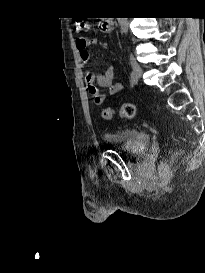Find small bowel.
Returning a JSON list of instances; mask_svg holds the SVG:
<instances>
[{
    "instance_id": "1",
    "label": "small bowel",
    "mask_w": 205,
    "mask_h": 273,
    "mask_svg": "<svg viewBox=\"0 0 205 273\" xmlns=\"http://www.w3.org/2000/svg\"><path fill=\"white\" fill-rule=\"evenodd\" d=\"M96 44V38H86L82 36L76 38V48L82 64H86L90 59L88 47ZM85 81L95 105H102L108 95H115L122 90V84L114 82V67L112 65L107 66L105 71L101 74H94L92 72L86 73ZM102 89H105L106 91H103Z\"/></svg>"
}]
</instances>
